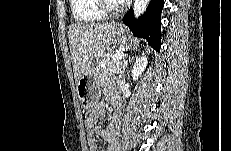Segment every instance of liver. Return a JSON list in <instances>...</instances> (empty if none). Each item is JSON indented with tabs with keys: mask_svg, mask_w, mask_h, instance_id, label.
Returning a JSON list of instances; mask_svg holds the SVG:
<instances>
[{
	"mask_svg": "<svg viewBox=\"0 0 231 151\" xmlns=\"http://www.w3.org/2000/svg\"><path fill=\"white\" fill-rule=\"evenodd\" d=\"M116 24L88 23L70 27L69 44L76 85L92 62L110 51Z\"/></svg>",
	"mask_w": 231,
	"mask_h": 151,
	"instance_id": "liver-1",
	"label": "liver"
}]
</instances>
